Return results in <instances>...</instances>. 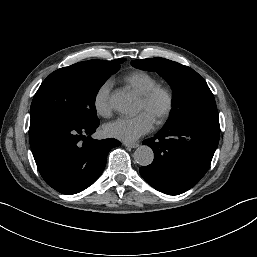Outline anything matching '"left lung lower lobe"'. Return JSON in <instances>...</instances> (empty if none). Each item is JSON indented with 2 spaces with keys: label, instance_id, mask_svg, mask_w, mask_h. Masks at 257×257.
<instances>
[{
  "label": "left lung lower lobe",
  "instance_id": "left-lung-lower-lobe-1",
  "mask_svg": "<svg viewBox=\"0 0 257 257\" xmlns=\"http://www.w3.org/2000/svg\"><path fill=\"white\" fill-rule=\"evenodd\" d=\"M220 136L216 107L202 110L164 126L153 138L143 141L154 151V161L141 167V176L156 190L178 195L207 172Z\"/></svg>",
  "mask_w": 257,
  "mask_h": 257
}]
</instances>
